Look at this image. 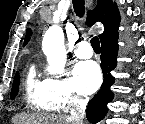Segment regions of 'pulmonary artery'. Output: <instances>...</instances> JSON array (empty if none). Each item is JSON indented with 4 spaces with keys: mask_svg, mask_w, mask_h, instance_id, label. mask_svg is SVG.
<instances>
[{
    "mask_svg": "<svg viewBox=\"0 0 145 124\" xmlns=\"http://www.w3.org/2000/svg\"><path fill=\"white\" fill-rule=\"evenodd\" d=\"M74 52L78 58H82V59L91 58L93 55L92 48L90 44L87 43L86 41L78 42L76 44Z\"/></svg>",
    "mask_w": 145,
    "mask_h": 124,
    "instance_id": "pulmonary-artery-1",
    "label": "pulmonary artery"
}]
</instances>
